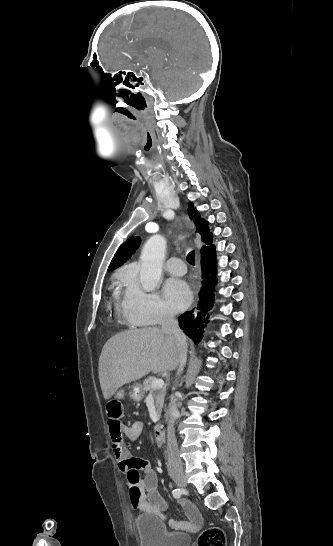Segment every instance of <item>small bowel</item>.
Wrapping results in <instances>:
<instances>
[{
    "label": "small bowel",
    "instance_id": "c3829d8e",
    "mask_svg": "<svg viewBox=\"0 0 333 546\" xmlns=\"http://www.w3.org/2000/svg\"><path fill=\"white\" fill-rule=\"evenodd\" d=\"M114 396L124 397L123 387H118ZM122 415V414H121ZM108 430L118 467L126 476L129 486V498L131 506L142 513L150 514L161 521H166L173 529L197 530L203 523L199 511L188 501H183L188 521H179L166 513L167 503L157 490V475L151 469L149 463L141 458H133L127 450L124 438L129 442H135L142 431V423L134 422L132 425H124L119 422H108ZM140 473L142 477L140 479Z\"/></svg>",
    "mask_w": 333,
    "mask_h": 546
}]
</instances>
